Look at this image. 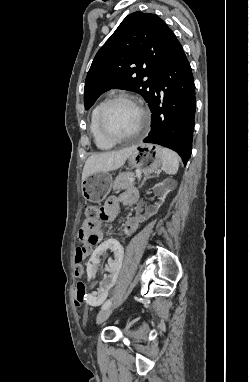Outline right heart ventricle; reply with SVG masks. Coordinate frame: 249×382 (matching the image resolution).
Instances as JSON below:
<instances>
[{
	"label": "right heart ventricle",
	"mask_w": 249,
	"mask_h": 382,
	"mask_svg": "<svg viewBox=\"0 0 249 382\" xmlns=\"http://www.w3.org/2000/svg\"><path fill=\"white\" fill-rule=\"evenodd\" d=\"M103 103H99L97 104L92 112H91V116H90V133L92 135V138L94 140V143L96 145V147L100 150H109L111 149L115 144L114 143H111L110 141L106 140L99 128H98V113H99V110L101 108Z\"/></svg>",
	"instance_id": "1"
}]
</instances>
